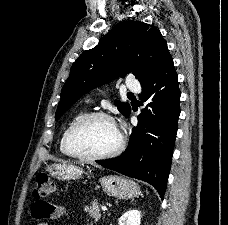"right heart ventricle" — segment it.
<instances>
[{
    "instance_id": "right-heart-ventricle-1",
    "label": "right heart ventricle",
    "mask_w": 228,
    "mask_h": 225,
    "mask_svg": "<svg viewBox=\"0 0 228 225\" xmlns=\"http://www.w3.org/2000/svg\"><path fill=\"white\" fill-rule=\"evenodd\" d=\"M84 114H86L84 111H80L77 114H75L74 117L69 122V124L64 128V130H63V132L61 134L59 148H60L61 153L63 155H65V156H67V157H73V156L70 155V153L68 152L67 147H66V136H67V133H68L70 127L73 125V123L78 118H80L81 116H83Z\"/></svg>"
}]
</instances>
